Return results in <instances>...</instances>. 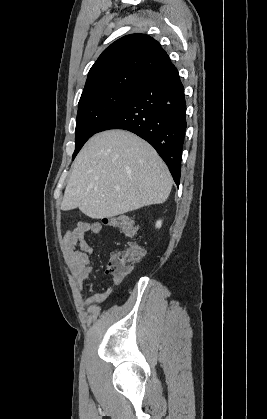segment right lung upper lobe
I'll list each match as a JSON object with an SVG mask.
<instances>
[{
    "label": "right lung upper lobe",
    "instance_id": "obj_1",
    "mask_svg": "<svg viewBox=\"0 0 267 419\" xmlns=\"http://www.w3.org/2000/svg\"><path fill=\"white\" fill-rule=\"evenodd\" d=\"M171 64L167 53L152 37L126 35L107 47L91 67L80 99L106 90L140 86Z\"/></svg>",
    "mask_w": 267,
    "mask_h": 419
}]
</instances>
